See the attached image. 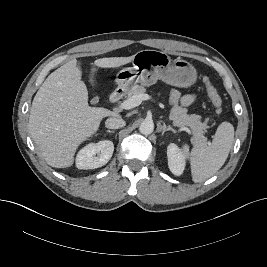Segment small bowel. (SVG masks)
Returning <instances> with one entry per match:
<instances>
[{"label": "small bowel", "instance_id": "obj_1", "mask_svg": "<svg viewBox=\"0 0 267 267\" xmlns=\"http://www.w3.org/2000/svg\"><path fill=\"white\" fill-rule=\"evenodd\" d=\"M171 100L174 104H180L186 107L194 102L195 96L193 94L181 95L177 90H173L171 93Z\"/></svg>", "mask_w": 267, "mask_h": 267}]
</instances>
